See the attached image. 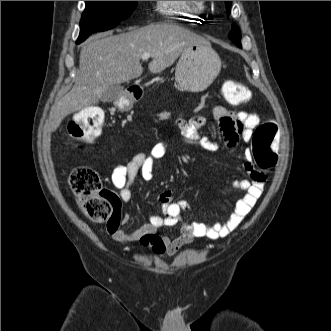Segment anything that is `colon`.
<instances>
[{
  "label": "colon",
  "instance_id": "colon-1",
  "mask_svg": "<svg viewBox=\"0 0 331 331\" xmlns=\"http://www.w3.org/2000/svg\"><path fill=\"white\" fill-rule=\"evenodd\" d=\"M225 100L232 105L248 101L250 92L239 82L226 81L222 86ZM104 125V113L97 107L81 110L68 125V134L74 140L91 142L98 137ZM280 140V126L271 119L258 124L252 136V150L259 168L267 170L277 161L276 150ZM70 187L82 212L97 223H113L118 196L101 185L92 168L81 166L73 169Z\"/></svg>",
  "mask_w": 331,
  "mask_h": 331
}]
</instances>
